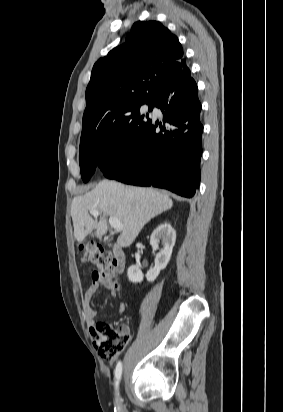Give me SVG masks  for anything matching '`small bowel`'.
<instances>
[{"label": "small bowel", "instance_id": "c3829d8e", "mask_svg": "<svg viewBox=\"0 0 283 412\" xmlns=\"http://www.w3.org/2000/svg\"><path fill=\"white\" fill-rule=\"evenodd\" d=\"M101 287H106L110 291L111 296L113 298L117 297V293L115 291V286L113 283H111L108 280L92 277V283L86 290L83 300H82V308H83L84 317H85L86 324L88 328L90 329V331L92 330L95 324V320L97 316L96 311L93 309L91 302H92L94 295ZM124 311H125V303L119 302L117 305V312L123 313ZM122 327L125 330H128L126 326H122Z\"/></svg>", "mask_w": 283, "mask_h": 412}]
</instances>
